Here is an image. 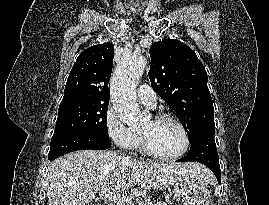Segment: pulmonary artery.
Wrapping results in <instances>:
<instances>
[{
    "label": "pulmonary artery",
    "instance_id": "1",
    "mask_svg": "<svg viewBox=\"0 0 269 205\" xmlns=\"http://www.w3.org/2000/svg\"><path fill=\"white\" fill-rule=\"evenodd\" d=\"M138 97L143 104L148 106H154L156 103V93L155 91L148 85L143 84L138 88Z\"/></svg>",
    "mask_w": 269,
    "mask_h": 205
}]
</instances>
